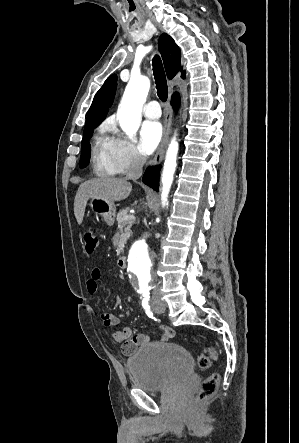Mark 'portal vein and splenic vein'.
Masks as SVG:
<instances>
[{
	"label": "portal vein and splenic vein",
	"instance_id": "obj_1",
	"mask_svg": "<svg viewBox=\"0 0 299 443\" xmlns=\"http://www.w3.org/2000/svg\"><path fill=\"white\" fill-rule=\"evenodd\" d=\"M125 219H127V220H133V219H135V217H134V215H129V216H127Z\"/></svg>",
	"mask_w": 299,
	"mask_h": 443
}]
</instances>
